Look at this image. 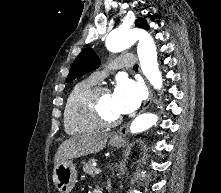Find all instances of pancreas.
Returning a JSON list of instances; mask_svg holds the SVG:
<instances>
[{
	"mask_svg": "<svg viewBox=\"0 0 221 193\" xmlns=\"http://www.w3.org/2000/svg\"><path fill=\"white\" fill-rule=\"evenodd\" d=\"M95 161H96V159H90L83 166V171L92 177L94 176V170L96 169L93 166V162H95Z\"/></svg>",
	"mask_w": 221,
	"mask_h": 193,
	"instance_id": "cf45deb5",
	"label": "pancreas"
}]
</instances>
